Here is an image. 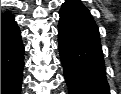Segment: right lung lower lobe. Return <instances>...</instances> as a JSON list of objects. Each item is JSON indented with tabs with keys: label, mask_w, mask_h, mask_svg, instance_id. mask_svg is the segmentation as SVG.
Returning <instances> with one entry per match:
<instances>
[{
	"label": "right lung lower lobe",
	"mask_w": 121,
	"mask_h": 94,
	"mask_svg": "<svg viewBox=\"0 0 121 94\" xmlns=\"http://www.w3.org/2000/svg\"><path fill=\"white\" fill-rule=\"evenodd\" d=\"M24 46L11 14L1 15V94H20Z\"/></svg>",
	"instance_id": "98d812e1"
}]
</instances>
